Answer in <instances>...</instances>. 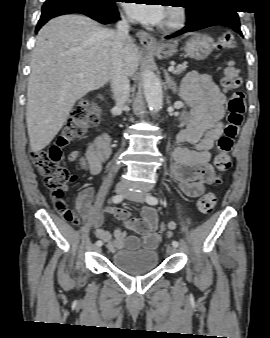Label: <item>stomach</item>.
Wrapping results in <instances>:
<instances>
[{
	"instance_id": "stomach-1",
	"label": "stomach",
	"mask_w": 270,
	"mask_h": 338,
	"mask_svg": "<svg viewBox=\"0 0 270 338\" xmlns=\"http://www.w3.org/2000/svg\"><path fill=\"white\" fill-rule=\"evenodd\" d=\"M177 48L178 41H173L170 43H162L157 49H154L153 51L160 59H166L173 56L177 52ZM212 50V38L199 33H193L184 45V52L186 56L196 60L206 59Z\"/></svg>"
}]
</instances>
